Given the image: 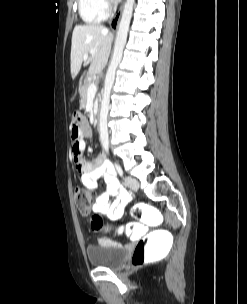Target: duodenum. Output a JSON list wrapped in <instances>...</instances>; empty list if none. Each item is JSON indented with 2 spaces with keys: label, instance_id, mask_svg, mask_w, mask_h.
I'll use <instances>...</instances> for the list:
<instances>
[{
  "label": "duodenum",
  "instance_id": "410a0bca",
  "mask_svg": "<svg viewBox=\"0 0 247 304\" xmlns=\"http://www.w3.org/2000/svg\"><path fill=\"white\" fill-rule=\"evenodd\" d=\"M83 83H85V78H80V81H78V86H83ZM95 121L97 123V126L95 128L98 130L100 128L99 127L100 126V123H99V121H100V115H99V113H97L95 115Z\"/></svg>",
  "mask_w": 247,
  "mask_h": 304
}]
</instances>
